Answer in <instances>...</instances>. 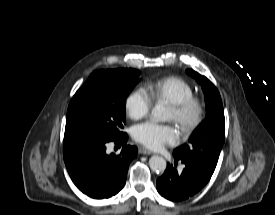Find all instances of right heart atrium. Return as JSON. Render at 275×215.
I'll return each instance as SVG.
<instances>
[{
  "instance_id": "obj_1",
  "label": "right heart atrium",
  "mask_w": 275,
  "mask_h": 215,
  "mask_svg": "<svg viewBox=\"0 0 275 215\" xmlns=\"http://www.w3.org/2000/svg\"><path fill=\"white\" fill-rule=\"evenodd\" d=\"M151 106L152 99L142 88L132 91L125 101L126 113L133 120L146 117L150 112Z\"/></svg>"
}]
</instances>
